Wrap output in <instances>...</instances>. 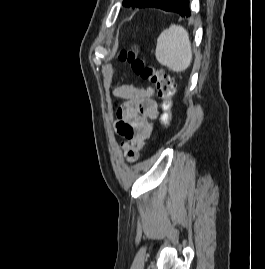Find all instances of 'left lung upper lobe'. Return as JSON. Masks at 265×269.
I'll list each match as a JSON object with an SVG mask.
<instances>
[{
  "mask_svg": "<svg viewBox=\"0 0 265 269\" xmlns=\"http://www.w3.org/2000/svg\"><path fill=\"white\" fill-rule=\"evenodd\" d=\"M145 0H124L123 6L125 7H138L141 5Z\"/></svg>",
  "mask_w": 265,
  "mask_h": 269,
  "instance_id": "1",
  "label": "left lung upper lobe"
}]
</instances>
